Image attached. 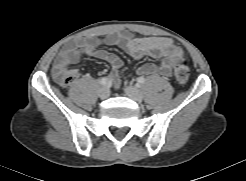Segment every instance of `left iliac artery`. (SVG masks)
I'll list each match as a JSON object with an SVG mask.
<instances>
[{"instance_id":"obj_1","label":"left iliac artery","mask_w":246,"mask_h":181,"mask_svg":"<svg viewBox=\"0 0 246 181\" xmlns=\"http://www.w3.org/2000/svg\"><path fill=\"white\" fill-rule=\"evenodd\" d=\"M137 82H138L139 84H143V83L145 82V78H144V77H139V78L137 79Z\"/></svg>"}]
</instances>
